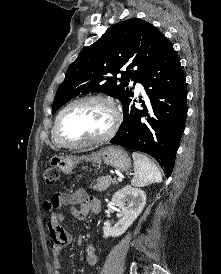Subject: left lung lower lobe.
<instances>
[{"label": "left lung lower lobe", "instance_id": "obj_1", "mask_svg": "<svg viewBox=\"0 0 221 274\" xmlns=\"http://www.w3.org/2000/svg\"><path fill=\"white\" fill-rule=\"evenodd\" d=\"M149 100L143 110L131 99L123 108V122L111 143L148 153L169 177L185 129L187 88L180 60L170 44L138 79Z\"/></svg>", "mask_w": 221, "mask_h": 274}]
</instances>
